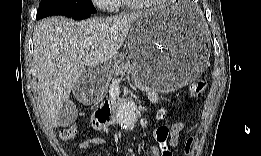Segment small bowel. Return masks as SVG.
<instances>
[{"instance_id": "1", "label": "small bowel", "mask_w": 261, "mask_h": 156, "mask_svg": "<svg viewBox=\"0 0 261 156\" xmlns=\"http://www.w3.org/2000/svg\"><path fill=\"white\" fill-rule=\"evenodd\" d=\"M149 97L153 103H156L158 100V95L154 91L149 92ZM169 137L167 140L168 146L171 149H174L178 146L179 144V136L180 134L185 130V125L182 122H177L171 125L169 128ZM154 140L158 142L156 138V133L154 134ZM105 140L102 138L98 137H85L79 144V148L82 150H87L93 145H101L104 144ZM150 154L152 156H170V154L166 153L165 150L162 147L158 146H151L150 149Z\"/></svg>"}]
</instances>
